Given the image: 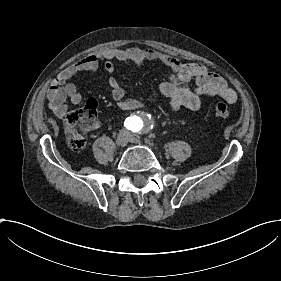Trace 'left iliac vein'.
Wrapping results in <instances>:
<instances>
[{
  "mask_svg": "<svg viewBox=\"0 0 281 281\" xmlns=\"http://www.w3.org/2000/svg\"><path fill=\"white\" fill-rule=\"evenodd\" d=\"M129 135V134H128ZM130 143H137L139 146L142 144V141H140V138H136V136H130L129 138Z\"/></svg>",
  "mask_w": 281,
  "mask_h": 281,
  "instance_id": "4c4485c4",
  "label": "left iliac vein"
}]
</instances>
